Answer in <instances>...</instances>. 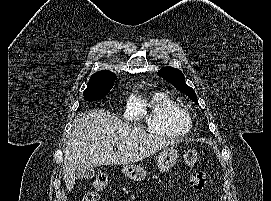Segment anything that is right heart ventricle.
<instances>
[{"instance_id":"right-heart-ventricle-1","label":"right heart ventricle","mask_w":271,"mask_h":201,"mask_svg":"<svg viewBox=\"0 0 271 201\" xmlns=\"http://www.w3.org/2000/svg\"><path fill=\"white\" fill-rule=\"evenodd\" d=\"M148 130L156 135L178 137L192 127L189 112L164 92H156L150 101L149 111H143Z\"/></svg>"}]
</instances>
